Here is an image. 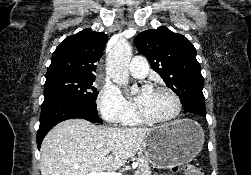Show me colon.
I'll use <instances>...</instances> for the list:
<instances>
[{
    "mask_svg": "<svg viewBox=\"0 0 251 175\" xmlns=\"http://www.w3.org/2000/svg\"><path fill=\"white\" fill-rule=\"evenodd\" d=\"M174 172H181L183 175H203L201 169L191 163H186L173 168Z\"/></svg>",
    "mask_w": 251,
    "mask_h": 175,
    "instance_id": "obj_1",
    "label": "colon"
}]
</instances>
